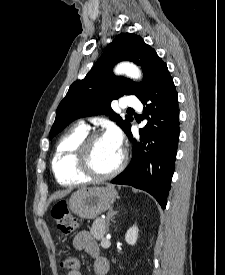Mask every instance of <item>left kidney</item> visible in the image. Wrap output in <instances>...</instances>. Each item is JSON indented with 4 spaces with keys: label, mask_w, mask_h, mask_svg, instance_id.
Here are the masks:
<instances>
[{
    "label": "left kidney",
    "mask_w": 225,
    "mask_h": 275,
    "mask_svg": "<svg viewBox=\"0 0 225 275\" xmlns=\"http://www.w3.org/2000/svg\"><path fill=\"white\" fill-rule=\"evenodd\" d=\"M137 238H138V228L137 226H133L127 231L125 235V240L128 244L135 245Z\"/></svg>",
    "instance_id": "obj_1"
}]
</instances>
